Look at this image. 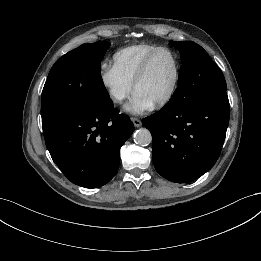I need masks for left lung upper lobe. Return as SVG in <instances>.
<instances>
[{"label": "left lung upper lobe", "mask_w": 261, "mask_h": 261, "mask_svg": "<svg viewBox=\"0 0 261 261\" xmlns=\"http://www.w3.org/2000/svg\"><path fill=\"white\" fill-rule=\"evenodd\" d=\"M170 45L180 51L183 64L180 85L166 105L183 107L200 97L227 90L221 70L200 45L188 41H172Z\"/></svg>", "instance_id": "5c2ea615"}]
</instances>
